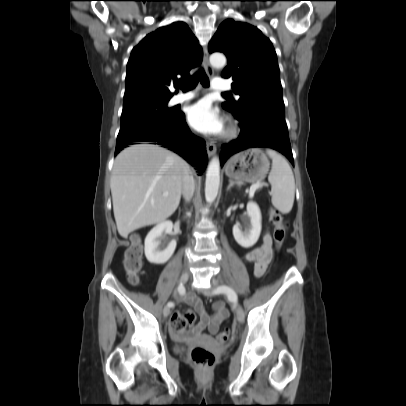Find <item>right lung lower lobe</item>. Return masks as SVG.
Masks as SVG:
<instances>
[{
	"label": "right lung lower lobe",
	"instance_id": "obj_1",
	"mask_svg": "<svg viewBox=\"0 0 406 406\" xmlns=\"http://www.w3.org/2000/svg\"><path fill=\"white\" fill-rule=\"evenodd\" d=\"M136 142H152L161 145L183 157L197 167L202 173L207 164L206 144L204 140L194 136L186 122L185 115L179 110L167 124L151 130L138 131L117 137L115 153Z\"/></svg>",
	"mask_w": 406,
	"mask_h": 406
}]
</instances>
